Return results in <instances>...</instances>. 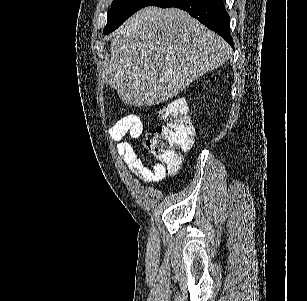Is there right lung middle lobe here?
Returning a JSON list of instances; mask_svg holds the SVG:
<instances>
[{"label": "right lung middle lobe", "mask_w": 307, "mask_h": 301, "mask_svg": "<svg viewBox=\"0 0 307 301\" xmlns=\"http://www.w3.org/2000/svg\"><path fill=\"white\" fill-rule=\"evenodd\" d=\"M156 0H113L111 9L107 14V24L104 34L117 29L126 19L138 10L150 6Z\"/></svg>", "instance_id": "right-lung-middle-lobe-1"}]
</instances>
